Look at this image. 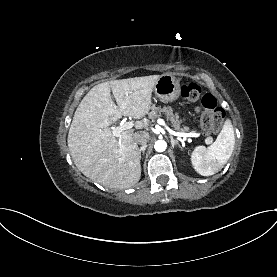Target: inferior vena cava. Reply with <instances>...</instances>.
Masks as SVG:
<instances>
[{"instance_id": "602c4592", "label": "inferior vena cava", "mask_w": 277, "mask_h": 277, "mask_svg": "<svg viewBox=\"0 0 277 277\" xmlns=\"http://www.w3.org/2000/svg\"><path fill=\"white\" fill-rule=\"evenodd\" d=\"M150 136L148 132L140 131L134 134V140L137 144L145 146L149 141Z\"/></svg>"}]
</instances>
